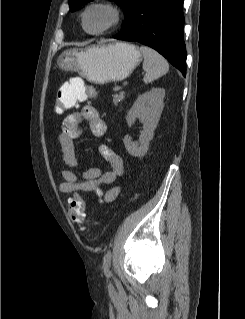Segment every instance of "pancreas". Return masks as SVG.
Listing matches in <instances>:
<instances>
[{
  "label": "pancreas",
  "instance_id": "cf45deb5",
  "mask_svg": "<svg viewBox=\"0 0 245 319\" xmlns=\"http://www.w3.org/2000/svg\"><path fill=\"white\" fill-rule=\"evenodd\" d=\"M124 99V94L120 93V94H114L113 95V103L116 105L119 102H121Z\"/></svg>",
  "mask_w": 245,
  "mask_h": 319
}]
</instances>
